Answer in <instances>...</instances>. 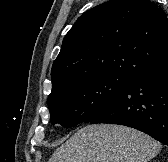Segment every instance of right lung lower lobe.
<instances>
[{"label":"right lung lower lobe","mask_w":168,"mask_h":162,"mask_svg":"<svg viewBox=\"0 0 168 162\" xmlns=\"http://www.w3.org/2000/svg\"><path fill=\"white\" fill-rule=\"evenodd\" d=\"M90 123L129 126L168 146V61L133 76Z\"/></svg>","instance_id":"98d812e1"}]
</instances>
